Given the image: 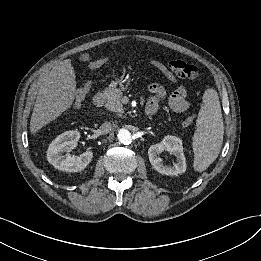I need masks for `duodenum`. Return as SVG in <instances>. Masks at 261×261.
Wrapping results in <instances>:
<instances>
[{"mask_svg":"<svg viewBox=\"0 0 261 261\" xmlns=\"http://www.w3.org/2000/svg\"><path fill=\"white\" fill-rule=\"evenodd\" d=\"M93 102H94L95 106L100 107L103 102V93H101V92L96 93L94 96ZM146 114L149 115L150 112L148 110H146Z\"/></svg>","mask_w":261,"mask_h":261,"instance_id":"obj_1","label":"duodenum"}]
</instances>
